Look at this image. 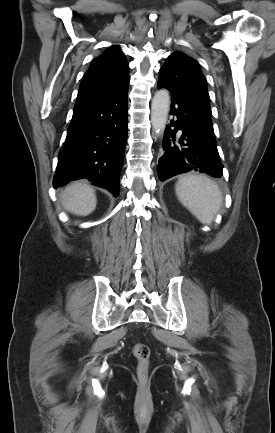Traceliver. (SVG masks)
<instances>
[{
  "label": "liver",
  "instance_id": "6515ba94",
  "mask_svg": "<svg viewBox=\"0 0 275 433\" xmlns=\"http://www.w3.org/2000/svg\"><path fill=\"white\" fill-rule=\"evenodd\" d=\"M61 202L68 212L87 216L95 210L97 199L93 188L84 182L75 181L63 190Z\"/></svg>",
  "mask_w": 275,
  "mask_h": 433
}]
</instances>
